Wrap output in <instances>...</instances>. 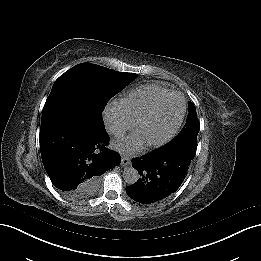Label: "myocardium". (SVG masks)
Wrapping results in <instances>:
<instances>
[{
    "label": "myocardium",
    "instance_id": "f54148a6",
    "mask_svg": "<svg viewBox=\"0 0 261 261\" xmlns=\"http://www.w3.org/2000/svg\"><path fill=\"white\" fill-rule=\"evenodd\" d=\"M176 100H179L181 103V113L180 116L176 122V124L174 125V127L172 129H170L164 136L158 138V139H154V140H147V139H143L140 138L137 135V129L138 126L141 122V120L146 117V116H151V115H155L158 112H161L165 109H167L171 104H173ZM186 113V100L183 96L181 95H175L170 97L168 100L154 106L153 108H151L149 111L145 112L143 115H141L133 124L132 128H131V134L130 136H133L136 141L139 144V147L141 146H158L161 145L163 143H165L166 141H168L180 128L183 120H184V116Z\"/></svg>",
    "mask_w": 261,
    "mask_h": 261
}]
</instances>
